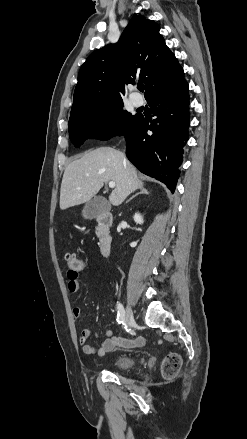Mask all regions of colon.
I'll return each mask as SVG.
<instances>
[{
	"label": "colon",
	"mask_w": 247,
	"mask_h": 439,
	"mask_svg": "<svg viewBox=\"0 0 247 439\" xmlns=\"http://www.w3.org/2000/svg\"><path fill=\"white\" fill-rule=\"evenodd\" d=\"M69 270L81 272L85 269V262L74 254L66 255ZM181 367V358L176 353L168 354L162 363V375L165 379L171 380L176 377Z\"/></svg>",
	"instance_id": "obj_1"
}]
</instances>
